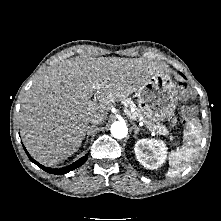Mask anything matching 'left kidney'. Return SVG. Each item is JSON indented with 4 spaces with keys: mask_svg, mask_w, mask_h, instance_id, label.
Listing matches in <instances>:
<instances>
[{
    "mask_svg": "<svg viewBox=\"0 0 221 221\" xmlns=\"http://www.w3.org/2000/svg\"><path fill=\"white\" fill-rule=\"evenodd\" d=\"M135 155L137 160L147 169H157L166 160L167 147L163 141L140 139L136 142Z\"/></svg>",
    "mask_w": 221,
    "mask_h": 221,
    "instance_id": "5707ae66",
    "label": "left kidney"
}]
</instances>
